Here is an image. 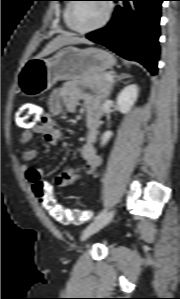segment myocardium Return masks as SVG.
<instances>
[{
	"label": "myocardium",
	"mask_w": 180,
	"mask_h": 299,
	"mask_svg": "<svg viewBox=\"0 0 180 299\" xmlns=\"http://www.w3.org/2000/svg\"><path fill=\"white\" fill-rule=\"evenodd\" d=\"M76 1L77 0H75V2L71 3L70 10H69V25H70V28L73 31H75L76 33L88 34V33L98 31V30L104 28L110 21L112 14H113V5H112V2H110V0H103L104 5H105V15H104L102 21L100 23H98L97 25L90 27V28L82 29V28L77 27L74 24V12H75V8L78 4V2H76Z\"/></svg>",
	"instance_id": "1"
}]
</instances>
